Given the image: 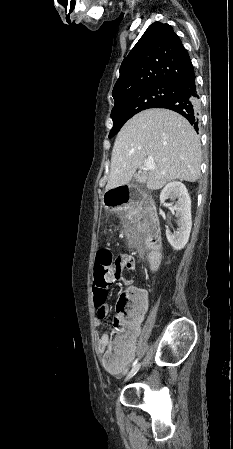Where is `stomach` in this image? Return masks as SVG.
<instances>
[{"mask_svg":"<svg viewBox=\"0 0 233 449\" xmlns=\"http://www.w3.org/2000/svg\"><path fill=\"white\" fill-rule=\"evenodd\" d=\"M106 208H113V207H115V206H105Z\"/></svg>","mask_w":233,"mask_h":449,"instance_id":"0dacf381","label":"stomach"}]
</instances>
